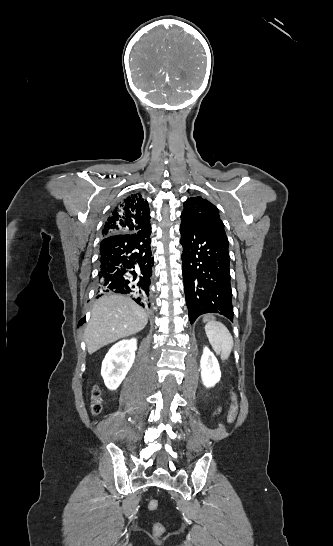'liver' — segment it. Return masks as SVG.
<instances>
[{
    "label": "liver",
    "instance_id": "6515ba94",
    "mask_svg": "<svg viewBox=\"0 0 333 546\" xmlns=\"http://www.w3.org/2000/svg\"><path fill=\"white\" fill-rule=\"evenodd\" d=\"M148 314L134 301L121 295L105 294L96 300L84 339L89 354L145 328Z\"/></svg>",
    "mask_w": 333,
    "mask_h": 546
}]
</instances>
